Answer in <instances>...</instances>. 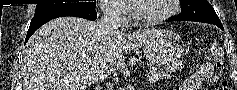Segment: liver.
Masks as SVG:
<instances>
[{
    "instance_id": "liver-1",
    "label": "liver",
    "mask_w": 237,
    "mask_h": 90,
    "mask_svg": "<svg viewBox=\"0 0 237 90\" xmlns=\"http://www.w3.org/2000/svg\"><path fill=\"white\" fill-rule=\"evenodd\" d=\"M152 34H158L157 30L107 36L99 22L83 18L51 20L25 46L23 90H87L99 64H105L109 74L115 72L123 66L122 50H139Z\"/></svg>"
}]
</instances>
